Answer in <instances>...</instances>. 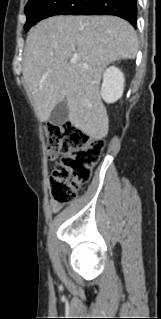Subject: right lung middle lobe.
<instances>
[{
	"label": "right lung middle lobe",
	"instance_id": "dd1d6c3e",
	"mask_svg": "<svg viewBox=\"0 0 161 319\" xmlns=\"http://www.w3.org/2000/svg\"><path fill=\"white\" fill-rule=\"evenodd\" d=\"M87 0H29L25 6L27 21L24 25L28 31L40 20L54 15H72Z\"/></svg>",
	"mask_w": 161,
	"mask_h": 319
}]
</instances>
